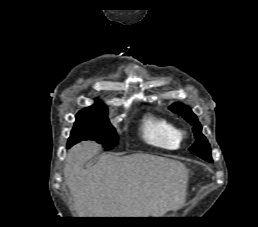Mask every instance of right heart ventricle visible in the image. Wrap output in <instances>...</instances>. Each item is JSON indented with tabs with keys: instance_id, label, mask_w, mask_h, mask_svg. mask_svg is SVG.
Returning <instances> with one entry per match:
<instances>
[{
	"instance_id": "e07e8e85",
	"label": "right heart ventricle",
	"mask_w": 258,
	"mask_h": 227,
	"mask_svg": "<svg viewBox=\"0 0 258 227\" xmlns=\"http://www.w3.org/2000/svg\"><path fill=\"white\" fill-rule=\"evenodd\" d=\"M143 140L155 147L174 150L180 146V131L169 119L149 113L141 123Z\"/></svg>"
}]
</instances>
